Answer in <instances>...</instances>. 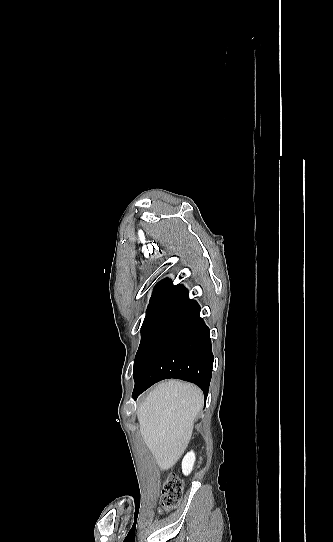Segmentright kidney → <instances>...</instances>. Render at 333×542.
Instances as JSON below:
<instances>
[{"mask_svg": "<svg viewBox=\"0 0 333 542\" xmlns=\"http://www.w3.org/2000/svg\"><path fill=\"white\" fill-rule=\"evenodd\" d=\"M195 460L194 452H188V454L184 456L182 460V472L184 476H189V474H191Z\"/></svg>", "mask_w": 333, "mask_h": 542, "instance_id": "1", "label": "right kidney"}]
</instances>
